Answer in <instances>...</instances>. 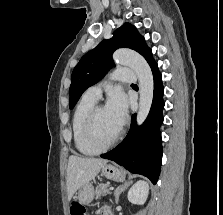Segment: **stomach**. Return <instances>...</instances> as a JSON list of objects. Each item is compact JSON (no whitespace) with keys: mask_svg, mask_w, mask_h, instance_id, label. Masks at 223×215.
<instances>
[{"mask_svg":"<svg viewBox=\"0 0 223 215\" xmlns=\"http://www.w3.org/2000/svg\"><path fill=\"white\" fill-rule=\"evenodd\" d=\"M101 173L104 177H107V179H113V181H125L123 171L118 169V167H115V165H112V163H104L103 167H101ZM92 192L93 187L91 183H86V185H83V187L79 189V198H77V201L80 202V205L83 206L92 201Z\"/></svg>","mask_w":223,"mask_h":215,"instance_id":"obj_1","label":"stomach"}]
</instances>
